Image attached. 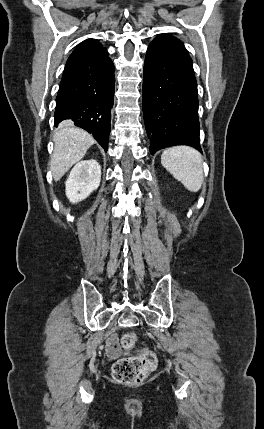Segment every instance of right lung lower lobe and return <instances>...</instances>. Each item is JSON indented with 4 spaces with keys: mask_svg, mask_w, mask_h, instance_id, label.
I'll list each match as a JSON object with an SVG mask.
<instances>
[{
    "mask_svg": "<svg viewBox=\"0 0 264 429\" xmlns=\"http://www.w3.org/2000/svg\"><path fill=\"white\" fill-rule=\"evenodd\" d=\"M114 65L105 50L64 71L55 108V127L71 120L107 151L114 99Z\"/></svg>",
    "mask_w": 264,
    "mask_h": 429,
    "instance_id": "right-lung-lower-lobe-1",
    "label": "right lung lower lobe"
}]
</instances>
